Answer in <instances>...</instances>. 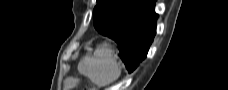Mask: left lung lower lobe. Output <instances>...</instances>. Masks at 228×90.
<instances>
[{
    "instance_id": "1",
    "label": "left lung lower lobe",
    "mask_w": 228,
    "mask_h": 90,
    "mask_svg": "<svg viewBox=\"0 0 228 90\" xmlns=\"http://www.w3.org/2000/svg\"><path fill=\"white\" fill-rule=\"evenodd\" d=\"M131 2L132 9L123 11L118 21L101 33L117 43L119 56L130 73L146 58L156 34L158 17L154 12V1L132 0Z\"/></svg>"
}]
</instances>
